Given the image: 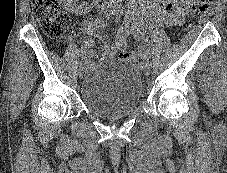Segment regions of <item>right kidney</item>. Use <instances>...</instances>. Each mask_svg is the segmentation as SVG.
<instances>
[{
    "mask_svg": "<svg viewBox=\"0 0 227 173\" xmlns=\"http://www.w3.org/2000/svg\"><path fill=\"white\" fill-rule=\"evenodd\" d=\"M75 1L76 0H63L65 7L72 13H77L80 9Z\"/></svg>",
    "mask_w": 227,
    "mask_h": 173,
    "instance_id": "obj_1",
    "label": "right kidney"
}]
</instances>
